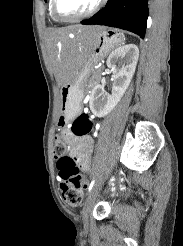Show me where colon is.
Instances as JSON below:
<instances>
[{
  "label": "colon",
  "mask_w": 183,
  "mask_h": 246,
  "mask_svg": "<svg viewBox=\"0 0 183 246\" xmlns=\"http://www.w3.org/2000/svg\"><path fill=\"white\" fill-rule=\"evenodd\" d=\"M92 129V120L87 114H79L71 125V131L77 136L87 135ZM90 151L89 147L85 148ZM55 155L57 169L61 179L60 192L63 200L70 206H79L82 201L83 190L87 187L88 179L82 175L78 166L67 153L64 142L60 137L56 139Z\"/></svg>",
  "instance_id": "1"
}]
</instances>
